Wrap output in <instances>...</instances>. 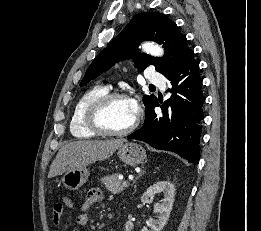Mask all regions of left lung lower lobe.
<instances>
[{
    "label": "left lung lower lobe",
    "instance_id": "left-lung-lower-lobe-1",
    "mask_svg": "<svg viewBox=\"0 0 261 231\" xmlns=\"http://www.w3.org/2000/svg\"><path fill=\"white\" fill-rule=\"evenodd\" d=\"M171 84V97L161 106L163 115L154 111L156 100L148 109L143 126L128 138L177 153L188 162L200 159L201 122L204 119L202 79L199 64L191 55L180 67L165 76Z\"/></svg>",
    "mask_w": 261,
    "mask_h": 231
}]
</instances>
